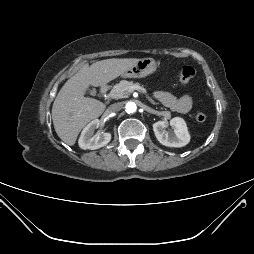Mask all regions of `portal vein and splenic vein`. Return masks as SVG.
Segmentation results:
<instances>
[{
	"instance_id": "1",
	"label": "portal vein and splenic vein",
	"mask_w": 254,
	"mask_h": 254,
	"mask_svg": "<svg viewBox=\"0 0 254 254\" xmlns=\"http://www.w3.org/2000/svg\"><path fill=\"white\" fill-rule=\"evenodd\" d=\"M131 90H137V91H140L142 93H146V89L141 87V86H135V87H132Z\"/></svg>"
}]
</instances>
